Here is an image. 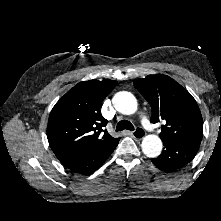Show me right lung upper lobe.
<instances>
[{
  "label": "right lung upper lobe",
  "instance_id": "cb5924a9",
  "mask_svg": "<svg viewBox=\"0 0 221 221\" xmlns=\"http://www.w3.org/2000/svg\"><path fill=\"white\" fill-rule=\"evenodd\" d=\"M117 84L114 80L83 81L55 104L48 121L47 138L61 162L119 142V138H113L103 129L108 121L100 111L103 100Z\"/></svg>",
  "mask_w": 221,
  "mask_h": 221
}]
</instances>
